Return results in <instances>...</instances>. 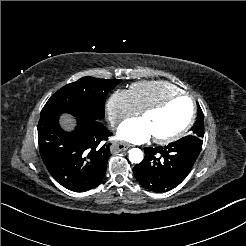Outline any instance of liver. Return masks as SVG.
<instances>
[{
  "mask_svg": "<svg viewBox=\"0 0 246 246\" xmlns=\"http://www.w3.org/2000/svg\"><path fill=\"white\" fill-rule=\"evenodd\" d=\"M61 123L63 124V126L66 128V129H70L73 127L74 125V121H73V118L69 115H63L61 117Z\"/></svg>",
  "mask_w": 246,
  "mask_h": 246,
  "instance_id": "6515ba94",
  "label": "liver"
}]
</instances>
